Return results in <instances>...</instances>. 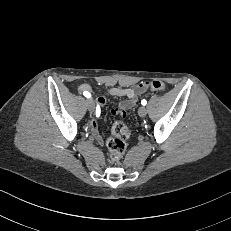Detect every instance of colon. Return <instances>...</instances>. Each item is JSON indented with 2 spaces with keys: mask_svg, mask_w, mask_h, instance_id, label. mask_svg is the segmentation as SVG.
I'll return each mask as SVG.
<instances>
[{
  "mask_svg": "<svg viewBox=\"0 0 231 231\" xmlns=\"http://www.w3.org/2000/svg\"><path fill=\"white\" fill-rule=\"evenodd\" d=\"M148 89L152 91H164L166 85L164 82L154 80L148 83ZM132 132L121 121H115L111 128V135L107 140L108 161L117 163L125 153V141L130 138Z\"/></svg>",
  "mask_w": 231,
  "mask_h": 231,
  "instance_id": "colon-1",
  "label": "colon"
}]
</instances>
